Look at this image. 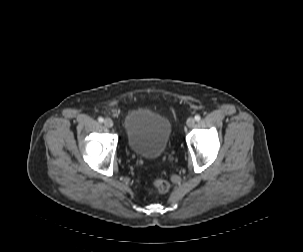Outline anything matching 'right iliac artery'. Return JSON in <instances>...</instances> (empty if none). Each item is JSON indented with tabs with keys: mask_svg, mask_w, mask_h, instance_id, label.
Returning a JSON list of instances; mask_svg holds the SVG:
<instances>
[{
	"mask_svg": "<svg viewBox=\"0 0 303 252\" xmlns=\"http://www.w3.org/2000/svg\"><path fill=\"white\" fill-rule=\"evenodd\" d=\"M103 120H104V119H103L102 117H99V118H98V121H99L100 123H102Z\"/></svg>",
	"mask_w": 303,
	"mask_h": 252,
	"instance_id": "82829eb1",
	"label": "right iliac artery"
}]
</instances>
